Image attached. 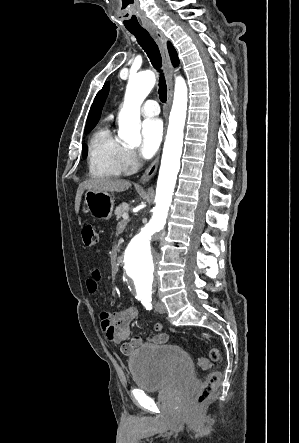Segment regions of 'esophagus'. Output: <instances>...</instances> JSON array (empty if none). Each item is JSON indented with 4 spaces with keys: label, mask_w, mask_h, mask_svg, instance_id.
Instances as JSON below:
<instances>
[{
    "label": "esophagus",
    "mask_w": 299,
    "mask_h": 443,
    "mask_svg": "<svg viewBox=\"0 0 299 443\" xmlns=\"http://www.w3.org/2000/svg\"><path fill=\"white\" fill-rule=\"evenodd\" d=\"M147 30L155 37L162 55L163 67L168 85V96H167V105H166V118H167L173 96V67L169 57L166 39L163 33L156 27H149L147 28ZM159 159H160V153L151 163V165L146 169L144 174L141 176L139 180L141 184L148 183L149 180L155 175L159 165Z\"/></svg>",
    "instance_id": "1"
}]
</instances>
